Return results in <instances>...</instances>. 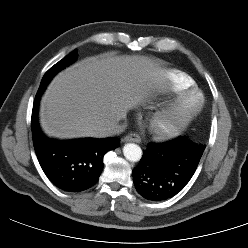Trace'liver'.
<instances>
[{"label": "liver", "mask_w": 248, "mask_h": 248, "mask_svg": "<svg viewBox=\"0 0 248 248\" xmlns=\"http://www.w3.org/2000/svg\"><path fill=\"white\" fill-rule=\"evenodd\" d=\"M164 84L162 70L144 56L89 57L60 72L48 86L40 123L50 137H106Z\"/></svg>", "instance_id": "obj_1"}]
</instances>
